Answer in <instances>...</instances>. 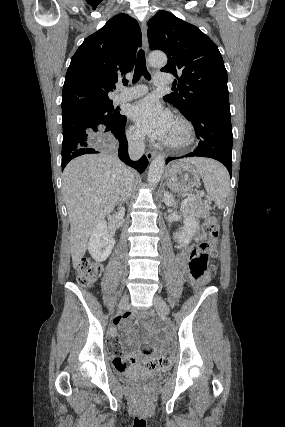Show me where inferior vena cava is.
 Wrapping results in <instances>:
<instances>
[{"label":"inferior vena cava","instance_id":"obj_1","mask_svg":"<svg viewBox=\"0 0 285 427\" xmlns=\"http://www.w3.org/2000/svg\"><path fill=\"white\" fill-rule=\"evenodd\" d=\"M128 153L132 160H138L144 154V137L141 134H134L128 138ZM135 173L131 169L124 174L122 188L120 191V201L126 202L131 196Z\"/></svg>","mask_w":285,"mask_h":427}]
</instances>
